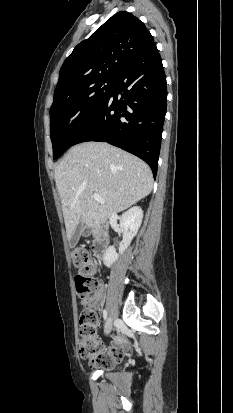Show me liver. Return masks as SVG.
Returning <instances> with one entry per match:
<instances>
[{"instance_id":"6515ba94","label":"liver","mask_w":233,"mask_h":413,"mask_svg":"<svg viewBox=\"0 0 233 413\" xmlns=\"http://www.w3.org/2000/svg\"><path fill=\"white\" fill-rule=\"evenodd\" d=\"M68 240L79 223L95 228L150 194L153 176L138 157L105 142L73 146L55 168ZM99 194L103 203L93 199Z\"/></svg>"}]
</instances>
